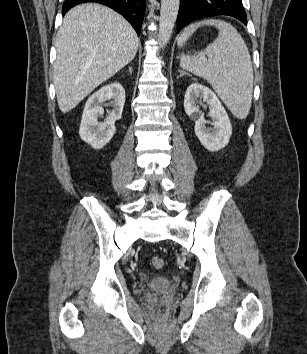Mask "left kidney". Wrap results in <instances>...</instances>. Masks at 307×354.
Returning a JSON list of instances; mask_svg holds the SVG:
<instances>
[{
	"mask_svg": "<svg viewBox=\"0 0 307 354\" xmlns=\"http://www.w3.org/2000/svg\"><path fill=\"white\" fill-rule=\"evenodd\" d=\"M198 98H203V101L208 104V115L213 120L211 123L213 128L206 127L204 113L197 105ZM184 108L190 119L195 121V134L207 150L218 151L229 143L232 135L230 119L211 89L198 83L188 86L184 98Z\"/></svg>",
	"mask_w": 307,
	"mask_h": 354,
	"instance_id": "1",
	"label": "left kidney"
}]
</instances>
